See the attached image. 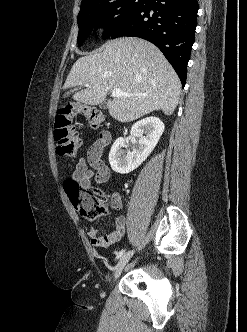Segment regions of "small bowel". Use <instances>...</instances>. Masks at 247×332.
I'll use <instances>...</instances> for the list:
<instances>
[{
	"label": "small bowel",
	"instance_id": "1",
	"mask_svg": "<svg viewBox=\"0 0 247 332\" xmlns=\"http://www.w3.org/2000/svg\"><path fill=\"white\" fill-rule=\"evenodd\" d=\"M111 136L108 132H101L97 141L90 147L87 158H80L72 174V179L83 189L88 190L92 181L97 184H104L109 180L110 169L102 161L103 149L110 143ZM89 165L91 168H89ZM111 205L114 209L120 210L123 206L119 193L111 197ZM126 229V217L117 215L114 218L113 230L106 235H99L94 227L88 229L87 235L95 247H107L122 239Z\"/></svg>",
	"mask_w": 247,
	"mask_h": 332
}]
</instances>
